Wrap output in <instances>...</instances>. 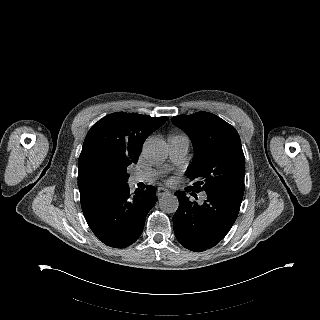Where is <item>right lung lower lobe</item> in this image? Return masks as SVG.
<instances>
[{"label":"right lung lower lobe","mask_w":320,"mask_h":320,"mask_svg":"<svg viewBox=\"0 0 320 320\" xmlns=\"http://www.w3.org/2000/svg\"><path fill=\"white\" fill-rule=\"evenodd\" d=\"M156 188L130 193L125 184L99 186L81 196V207L93 233L106 245L125 248L141 235L145 218L157 201Z\"/></svg>","instance_id":"98d812e1"}]
</instances>
